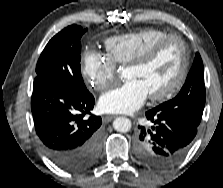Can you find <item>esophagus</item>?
Returning a JSON list of instances; mask_svg holds the SVG:
<instances>
[{"mask_svg": "<svg viewBox=\"0 0 223 188\" xmlns=\"http://www.w3.org/2000/svg\"><path fill=\"white\" fill-rule=\"evenodd\" d=\"M115 117H116L115 115H105V116L103 117V121H104L105 123H108V122H110L111 120H113Z\"/></svg>", "mask_w": 223, "mask_h": 188, "instance_id": "esophagus-1", "label": "esophagus"}]
</instances>
